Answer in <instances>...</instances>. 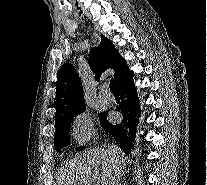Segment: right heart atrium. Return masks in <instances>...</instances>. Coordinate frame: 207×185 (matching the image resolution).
Here are the masks:
<instances>
[{
    "mask_svg": "<svg viewBox=\"0 0 207 185\" xmlns=\"http://www.w3.org/2000/svg\"><path fill=\"white\" fill-rule=\"evenodd\" d=\"M70 135L80 146L87 145L96 137L95 127L88 113H79L73 118L70 124Z\"/></svg>",
    "mask_w": 207,
    "mask_h": 185,
    "instance_id": "d8ad5b80",
    "label": "right heart atrium"
}]
</instances>
